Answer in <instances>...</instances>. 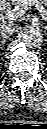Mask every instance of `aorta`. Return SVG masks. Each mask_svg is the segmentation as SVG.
<instances>
[{
    "label": "aorta",
    "mask_w": 47,
    "mask_h": 129,
    "mask_svg": "<svg viewBox=\"0 0 47 129\" xmlns=\"http://www.w3.org/2000/svg\"><path fill=\"white\" fill-rule=\"evenodd\" d=\"M22 39L27 46H39L43 42V35L39 28H26L22 34Z\"/></svg>",
    "instance_id": "aorta-1"
}]
</instances>
